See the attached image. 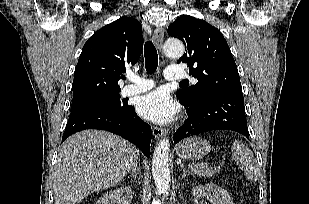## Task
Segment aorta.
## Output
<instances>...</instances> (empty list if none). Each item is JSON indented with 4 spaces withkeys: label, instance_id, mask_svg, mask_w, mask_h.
Masks as SVG:
<instances>
[{
    "label": "aorta",
    "instance_id": "obj_1",
    "mask_svg": "<svg viewBox=\"0 0 309 204\" xmlns=\"http://www.w3.org/2000/svg\"><path fill=\"white\" fill-rule=\"evenodd\" d=\"M166 56L180 58L184 52V44L176 39H169L163 46ZM169 139L163 138L154 151L152 159V174L155 186L160 194L167 195L170 189V170H169Z\"/></svg>",
    "mask_w": 309,
    "mask_h": 204
}]
</instances>
